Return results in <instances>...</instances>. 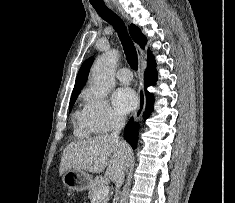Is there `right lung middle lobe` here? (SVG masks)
Listing matches in <instances>:
<instances>
[{"instance_id":"1","label":"right lung middle lobe","mask_w":235,"mask_h":203,"mask_svg":"<svg viewBox=\"0 0 235 203\" xmlns=\"http://www.w3.org/2000/svg\"><path fill=\"white\" fill-rule=\"evenodd\" d=\"M79 93H75V94H72L71 96V99H70V104H69V111H71L75 101H76V98L78 96Z\"/></svg>"}]
</instances>
